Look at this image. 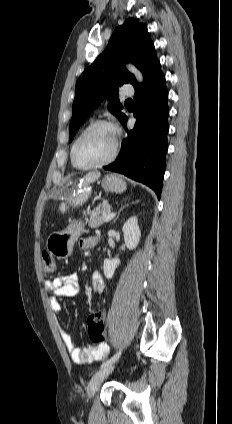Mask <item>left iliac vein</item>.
I'll use <instances>...</instances> for the list:
<instances>
[{
    "label": "left iliac vein",
    "mask_w": 232,
    "mask_h": 424,
    "mask_svg": "<svg viewBox=\"0 0 232 424\" xmlns=\"http://www.w3.org/2000/svg\"><path fill=\"white\" fill-rule=\"evenodd\" d=\"M113 369L114 364L112 363L101 368L93 375L87 387V396L89 399L93 398L101 383L109 376Z\"/></svg>",
    "instance_id": "obj_1"
}]
</instances>
